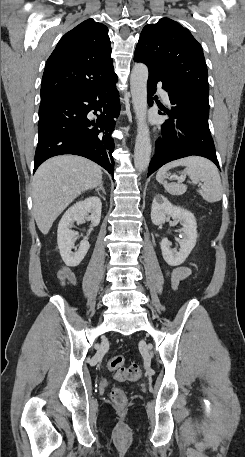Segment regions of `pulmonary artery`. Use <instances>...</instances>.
Masks as SVG:
<instances>
[{"label":"pulmonary artery","mask_w":245,"mask_h":457,"mask_svg":"<svg viewBox=\"0 0 245 457\" xmlns=\"http://www.w3.org/2000/svg\"><path fill=\"white\" fill-rule=\"evenodd\" d=\"M152 88L154 90H159L161 88V83L159 81H154L152 83ZM159 101L160 102H169L170 101V92L168 89H161L159 92Z\"/></svg>","instance_id":"obj_1"}]
</instances>
